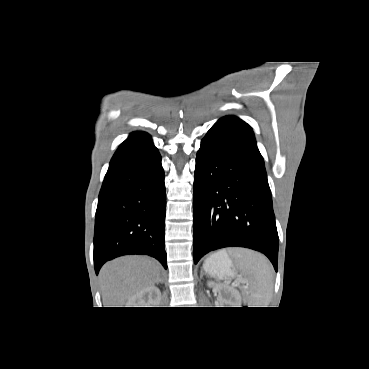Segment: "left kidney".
<instances>
[{
	"mask_svg": "<svg viewBox=\"0 0 369 369\" xmlns=\"http://www.w3.org/2000/svg\"><path fill=\"white\" fill-rule=\"evenodd\" d=\"M208 287H214L219 292V304L221 307H241V296L237 290L225 287L222 284H217L213 281H208Z\"/></svg>",
	"mask_w": 369,
	"mask_h": 369,
	"instance_id": "5707ae66",
	"label": "left kidney"
}]
</instances>
